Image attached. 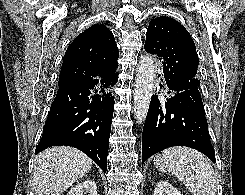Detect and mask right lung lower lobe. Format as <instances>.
<instances>
[{"label":"right lung lower lobe","instance_id":"right-lung-lower-lobe-1","mask_svg":"<svg viewBox=\"0 0 245 195\" xmlns=\"http://www.w3.org/2000/svg\"><path fill=\"white\" fill-rule=\"evenodd\" d=\"M118 73L99 70L92 79L59 85L35 154L51 146H72L107 170Z\"/></svg>","mask_w":245,"mask_h":195}]
</instances>
